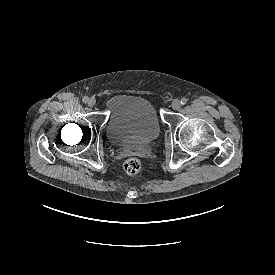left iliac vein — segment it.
<instances>
[{
  "mask_svg": "<svg viewBox=\"0 0 275 275\" xmlns=\"http://www.w3.org/2000/svg\"><path fill=\"white\" fill-rule=\"evenodd\" d=\"M172 108L174 110H178L181 108V103L179 100L175 99L173 102H172Z\"/></svg>",
  "mask_w": 275,
  "mask_h": 275,
  "instance_id": "obj_1",
  "label": "left iliac vein"
}]
</instances>
